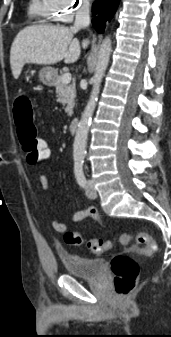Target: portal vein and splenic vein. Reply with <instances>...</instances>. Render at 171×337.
<instances>
[{"mask_svg": "<svg viewBox=\"0 0 171 337\" xmlns=\"http://www.w3.org/2000/svg\"><path fill=\"white\" fill-rule=\"evenodd\" d=\"M71 78H72V76H71L70 73H65V74L62 76V81H63V83L68 84V83H70Z\"/></svg>", "mask_w": 171, "mask_h": 337, "instance_id": "1", "label": "portal vein and splenic vein"}]
</instances>
